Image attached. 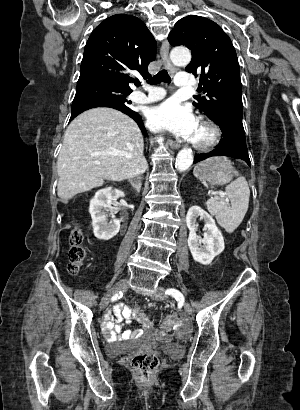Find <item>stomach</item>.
Wrapping results in <instances>:
<instances>
[{"instance_id":"obj_1","label":"stomach","mask_w":300,"mask_h":410,"mask_svg":"<svg viewBox=\"0 0 300 410\" xmlns=\"http://www.w3.org/2000/svg\"><path fill=\"white\" fill-rule=\"evenodd\" d=\"M194 175L212 184H226L232 180V163L225 157H213L196 165Z\"/></svg>"}]
</instances>
